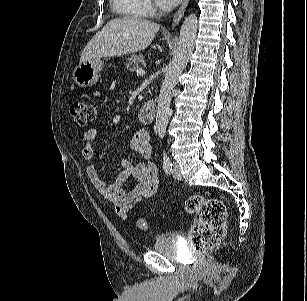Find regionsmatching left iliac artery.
<instances>
[{"instance_id": "1", "label": "left iliac artery", "mask_w": 307, "mask_h": 301, "mask_svg": "<svg viewBox=\"0 0 307 301\" xmlns=\"http://www.w3.org/2000/svg\"><path fill=\"white\" fill-rule=\"evenodd\" d=\"M163 169L167 174H170L172 170V164L170 158L165 150L163 151Z\"/></svg>"}]
</instances>
